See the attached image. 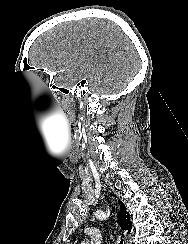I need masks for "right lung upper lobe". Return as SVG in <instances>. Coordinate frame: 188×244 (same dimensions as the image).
Instances as JSON below:
<instances>
[{
  "instance_id": "obj_1",
  "label": "right lung upper lobe",
  "mask_w": 188,
  "mask_h": 244,
  "mask_svg": "<svg viewBox=\"0 0 188 244\" xmlns=\"http://www.w3.org/2000/svg\"><path fill=\"white\" fill-rule=\"evenodd\" d=\"M119 203L121 205V210L118 213L117 223L119 224L122 230H128L129 233V231L131 230L130 216L129 213L126 211V208L123 205V203L121 201H119Z\"/></svg>"
}]
</instances>
